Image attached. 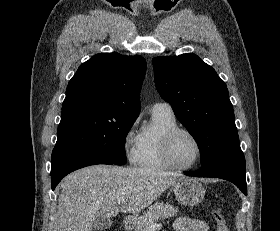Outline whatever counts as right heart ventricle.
I'll use <instances>...</instances> for the list:
<instances>
[{"instance_id": "obj_1", "label": "right heart ventricle", "mask_w": 280, "mask_h": 231, "mask_svg": "<svg viewBox=\"0 0 280 231\" xmlns=\"http://www.w3.org/2000/svg\"><path fill=\"white\" fill-rule=\"evenodd\" d=\"M178 126L174 114L152 111V122L144 126L140 134L138 165L148 169H172L162 156L161 139L166 131Z\"/></svg>"}]
</instances>
